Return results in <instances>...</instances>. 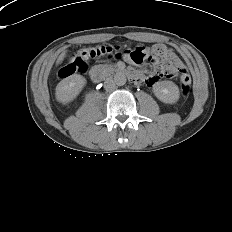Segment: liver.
<instances>
[{"label":"liver","mask_w":232,"mask_h":232,"mask_svg":"<svg viewBox=\"0 0 232 232\" xmlns=\"http://www.w3.org/2000/svg\"><path fill=\"white\" fill-rule=\"evenodd\" d=\"M65 56H66V51H63V52L59 55V57H58L56 63H57V64L61 63V62L63 61V59L65 58Z\"/></svg>","instance_id":"obj_1"}]
</instances>
